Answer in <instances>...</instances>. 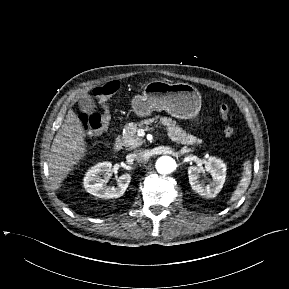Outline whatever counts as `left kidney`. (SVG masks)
<instances>
[{
  "instance_id": "obj_1",
  "label": "left kidney",
  "mask_w": 289,
  "mask_h": 289,
  "mask_svg": "<svg viewBox=\"0 0 289 289\" xmlns=\"http://www.w3.org/2000/svg\"><path fill=\"white\" fill-rule=\"evenodd\" d=\"M208 172L212 180L207 182L201 178V173ZM189 183L192 189L201 196L214 198L223 188L226 178V165L216 157H209L205 167L190 166L188 168Z\"/></svg>"
}]
</instances>
